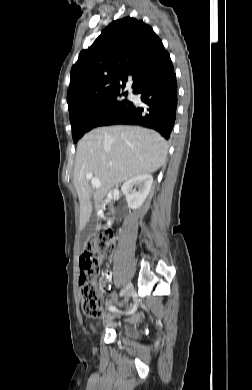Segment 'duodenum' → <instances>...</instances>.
Masks as SVG:
<instances>
[{
  "label": "duodenum",
  "mask_w": 252,
  "mask_h": 390,
  "mask_svg": "<svg viewBox=\"0 0 252 390\" xmlns=\"http://www.w3.org/2000/svg\"><path fill=\"white\" fill-rule=\"evenodd\" d=\"M104 205H105V208H106V211L104 212V215L106 216L108 214V212H107L108 202L104 201Z\"/></svg>",
  "instance_id": "410a0bca"
}]
</instances>
